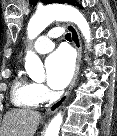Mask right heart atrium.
<instances>
[{
    "label": "right heart atrium",
    "mask_w": 117,
    "mask_h": 136,
    "mask_svg": "<svg viewBox=\"0 0 117 136\" xmlns=\"http://www.w3.org/2000/svg\"><path fill=\"white\" fill-rule=\"evenodd\" d=\"M37 92L41 98V101L46 100L49 97V91L43 84H36Z\"/></svg>",
    "instance_id": "d8ad5b80"
}]
</instances>
